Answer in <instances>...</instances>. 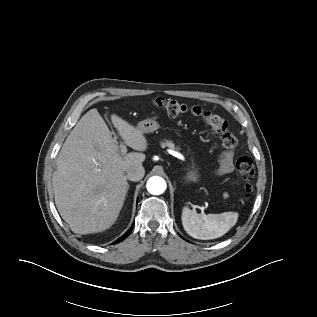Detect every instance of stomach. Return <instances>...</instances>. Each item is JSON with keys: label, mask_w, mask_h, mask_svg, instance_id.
<instances>
[{"label": "stomach", "mask_w": 317, "mask_h": 317, "mask_svg": "<svg viewBox=\"0 0 317 317\" xmlns=\"http://www.w3.org/2000/svg\"><path fill=\"white\" fill-rule=\"evenodd\" d=\"M137 128L142 133H151L156 131L159 128V124L155 117H151L139 122ZM193 170L189 171L185 177L186 182H195L198 180L199 174L198 169L195 168V165L192 166Z\"/></svg>", "instance_id": "0dacf381"}]
</instances>
